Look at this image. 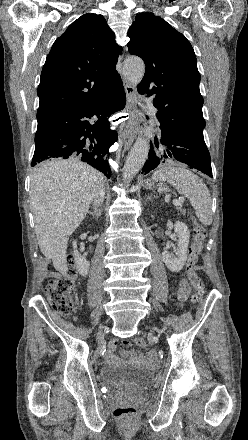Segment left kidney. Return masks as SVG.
Here are the masks:
<instances>
[{"label":"left kidney","instance_id":"5707ae66","mask_svg":"<svg viewBox=\"0 0 248 440\" xmlns=\"http://www.w3.org/2000/svg\"><path fill=\"white\" fill-rule=\"evenodd\" d=\"M174 232L178 237L175 254L170 253L168 250H164L162 252V259L170 271L179 272L182 270L187 260L190 232L188 227L180 221H177L174 224Z\"/></svg>","mask_w":248,"mask_h":440}]
</instances>
